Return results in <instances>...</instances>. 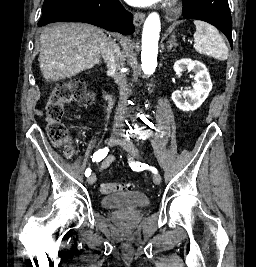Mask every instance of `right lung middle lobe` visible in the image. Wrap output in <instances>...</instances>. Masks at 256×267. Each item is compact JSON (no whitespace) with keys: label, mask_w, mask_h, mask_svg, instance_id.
Returning a JSON list of instances; mask_svg holds the SVG:
<instances>
[{"label":"right lung middle lobe","mask_w":256,"mask_h":267,"mask_svg":"<svg viewBox=\"0 0 256 267\" xmlns=\"http://www.w3.org/2000/svg\"><path fill=\"white\" fill-rule=\"evenodd\" d=\"M85 1H87V0H45L42 9H45L49 6L59 4V3H68V4L76 5L79 3H83Z\"/></svg>","instance_id":"obj_1"}]
</instances>
